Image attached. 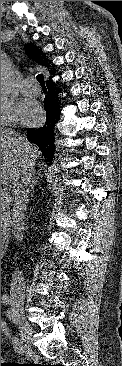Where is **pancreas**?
I'll use <instances>...</instances> for the list:
<instances>
[{
  "mask_svg": "<svg viewBox=\"0 0 122 366\" xmlns=\"http://www.w3.org/2000/svg\"><path fill=\"white\" fill-rule=\"evenodd\" d=\"M10 205V200L7 201L3 197H1V237L4 239L8 237L9 235V229H8V216L6 213V209Z\"/></svg>",
  "mask_w": 122,
  "mask_h": 366,
  "instance_id": "1",
  "label": "pancreas"
}]
</instances>
